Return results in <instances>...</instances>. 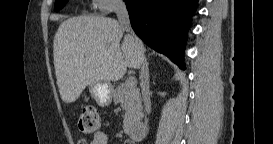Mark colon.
<instances>
[{
  "label": "colon",
  "mask_w": 273,
  "mask_h": 144,
  "mask_svg": "<svg viewBox=\"0 0 273 144\" xmlns=\"http://www.w3.org/2000/svg\"><path fill=\"white\" fill-rule=\"evenodd\" d=\"M79 132L89 135L99 131L101 127V116L96 107L87 105L82 108L77 121Z\"/></svg>",
  "instance_id": "colon-1"
}]
</instances>
